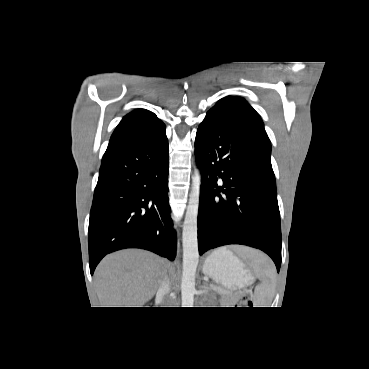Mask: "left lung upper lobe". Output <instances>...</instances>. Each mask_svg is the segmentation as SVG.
Listing matches in <instances>:
<instances>
[{"mask_svg":"<svg viewBox=\"0 0 369 369\" xmlns=\"http://www.w3.org/2000/svg\"><path fill=\"white\" fill-rule=\"evenodd\" d=\"M208 113L220 114L247 128L271 150V143L259 114L243 98L227 96Z\"/></svg>","mask_w":369,"mask_h":369,"instance_id":"obj_1","label":"left lung upper lobe"}]
</instances>
